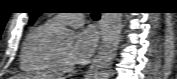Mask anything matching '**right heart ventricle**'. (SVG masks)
<instances>
[{
    "mask_svg": "<svg viewBox=\"0 0 177 79\" xmlns=\"http://www.w3.org/2000/svg\"><path fill=\"white\" fill-rule=\"evenodd\" d=\"M55 29L56 27L46 22L29 33L21 52L23 71L42 75H53L59 72L57 48L52 43Z\"/></svg>",
    "mask_w": 177,
    "mask_h": 79,
    "instance_id": "1",
    "label": "right heart ventricle"
}]
</instances>
